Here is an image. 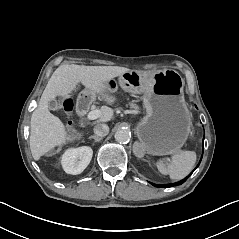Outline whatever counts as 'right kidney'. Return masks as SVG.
Returning a JSON list of instances; mask_svg holds the SVG:
<instances>
[{
  "label": "right kidney",
  "instance_id": "ca27d5eb",
  "mask_svg": "<svg viewBox=\"0 0 239 239\" xmlns=\"http://www.w3.org/2000/svg\"><path fill=\"white\" fill-rule=\"evenodd\" d=\"M92 155L93 150L88 146L69 148L62 155V167L68 174H80L89 165Z\"/></svg>",
  "mask_w": 239,
  "mask_h": 239
}]
</instances>
